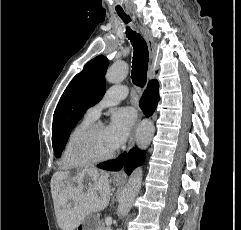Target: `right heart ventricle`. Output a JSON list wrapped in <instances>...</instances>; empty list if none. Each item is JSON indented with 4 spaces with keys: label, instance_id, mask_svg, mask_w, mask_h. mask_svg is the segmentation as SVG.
Here are the masks:
<instances>
[{
    "label": "right heart ventricle",
    "instance_id": "right-heart-ventricle-1",
    "mask_svg": "<svg viewBox=\"0 0 241 230\" xmlns=\"http://www.w3.org/2000/svg\"><path fill=\"white\" fill-rule=\"evenodd\" d=\"M95 118L86 114L69 132L66 142L63 147L61 162L64 168H76L84 164L78 162L74 156L73 148L74 143L79 134L93 121Z\"/></svg>",
    "mask_w": 241,
    "mask_h": 230
}]
</instances>
